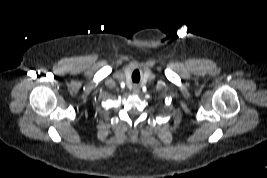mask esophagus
<instances>
[{"instance_id": "esophagus-1", "label": "esophagus", "mask_w": 267, "mask_h": 178, "mask_svg": "<svg viewBox=\"0 0 267 178\" xmlns=\"http://www.w3.org/2000/svg\"><path fill=\"white\" fill-rule=\"evenodd\" d=\"M139 91H140V88H139V87H137V86H136V87H134V90H133V92H134V93H136V94H137V93H139Z\"/></svg>"}]
</instances>
